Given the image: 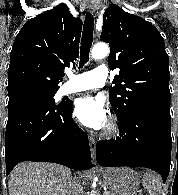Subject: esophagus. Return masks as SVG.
<instances>
[{"label": "esophagus", "instance_id": "34e87169", "mask_svg": "<svg viewBox=\"0 0 178 195\" xmlns=\"http://www.w3.org/2000/svg\"><path fill=\"white\" fill-rule=\"evenodd\" d=\"M89 7H92L91 4H89ZM89 145L91 150V156L93 163H96V150H97V144L93 137L89 136Z\"/></svg>", "mask_w": 178, "mask_h": 195}]
</instances>
